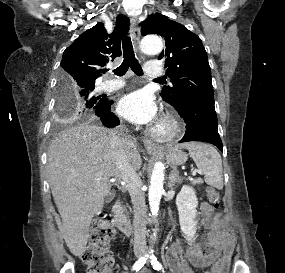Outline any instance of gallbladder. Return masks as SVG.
<instances>
[{"label": "gallbladder", "mask_w": 285, "mask_h": 273, "mask_svg": "<svg viewBox=\"0 0 285 273\" xmlns=\"http://www.w3.org/2000/svg\"><path fill=\"white\" fill-rule=\"evenodd\" d=\"M112 197V193L109 194L108 199L110 200Z\"/></svg>", "instance_id": "gallbladder-1"}]
</instances>
